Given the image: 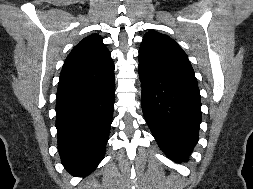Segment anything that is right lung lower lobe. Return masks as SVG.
<instances>
[{"label": "right lung lower lobe", "mask_w": 253, "mask_h": 189, "mask_svg": "<svg viewBox=\"0 0 253 189\" xmlns=\"http://www.w3.org/2000/svg\"><path fill=\"white\" fill-rule=\"evenodd\" d=\"M114 99V72L94 82H59L55 109L58 150L73 176L90 174L102 160Z\"/></svg>", "instance_id": "obj_1"}]
</instances>
